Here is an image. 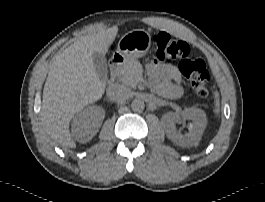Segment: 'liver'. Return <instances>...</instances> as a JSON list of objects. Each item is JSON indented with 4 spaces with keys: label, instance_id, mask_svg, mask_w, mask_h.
<instances>
[{
    "label": "liver",
    "instance_id": "liver-1",
    "mask_svg": "<svg viewBox=\"0 0 265 202\" xmlns=\"http://www.w3.org/2000/svg\"><path fill=\"white\" fill-rule=\"evenodd\" d=\"M92 31L55 56L43 89V127L52 139L68 148L76 147L69 130L72 118L105 92L106 84L95 71L92 54L108 52L118 27L99 25Z\"/></svg>",
    "mask_w": 265,
    "mask_h": 202
}]
</instances>
